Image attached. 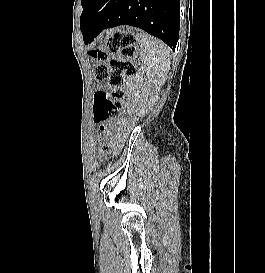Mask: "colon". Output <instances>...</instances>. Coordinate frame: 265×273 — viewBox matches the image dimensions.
<instances>
[{"mask_svg": "<svg viewBox=\"0 0 265 273\" xmlns=\"http://www.w3.org/2000/svg\"><path fill=\"white\" fill-rule=\"evenodd\" d=\"M136 36L132 33L120 31L115 32L107 39L103 48H94L89 51V55L101 62L95 68V78L98 81H107L111 86L110 90L98 91L94 94L93 102V120L100 124L97 128L95 145L98 152H111L113 148V136L110 128H104L105 124L113 117L119 115L122 110L121 98L123 97L122 87L125 83V77L136 73V67L131 62V58L136 53ZM110 68L102 64L109 55Z\"/></svg>", "mask_w": 265, "mask_h": 273, "instance_id": "1", "label": "colon"}]
</instances>
